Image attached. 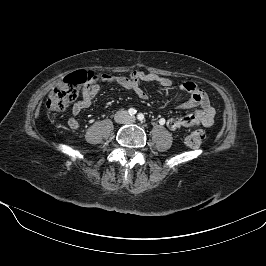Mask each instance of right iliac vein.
Wrapping results in <instances>:
<instances>
[{"mask_svg":"<svg viewBox=\"0 0 266 266\" xmlns=\"http://www.w3.org/2000/svg\"><path fill=\"white\" fill-rule=\"evenodd\" d=\"M122 115H119L118 117H117V119L120 121V120H122Z\"/></svg>","mask_w":266,"mask_h":266,"instance_id":"obj_1","label":"right iliac vein"}]
</instances>
